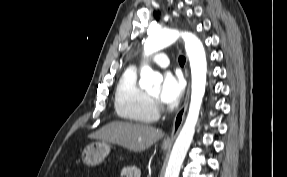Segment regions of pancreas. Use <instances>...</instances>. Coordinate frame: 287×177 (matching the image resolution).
<instances>
[{
	"label": "pancreas",
	"mask_w": 287,
	"mask_h": 177,
	"mask_svg": "<svg viewBox=\"0 0 287 177\" xmlns=\"http://www.w3.org/2000/svg\"><path fill=\"white\" fill-rule=\"evenodd\" d=\"M140 175V169L134 166H129L121 170V177H140Z\"/></svg>",
	"instance_id": "cf45deb5"
}]
</instances>
